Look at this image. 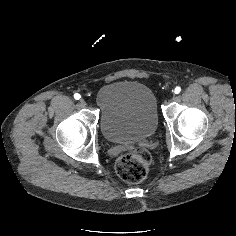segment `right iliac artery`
Masks as SVG:
<instances>
[{"instance_id":"82829eb1","label":"right iliac artery","mask_w":236,"mask_h":236,"mask_svg":"<svg viewBox=\"0 0 236 236\" xmlns=\"http://www.w3.org/2000/svg\"><path fill=\"white\" fill-rule=\"evenodd\" d=\"M74 98H75L76 100H79V99L81 98V96H80V94L75 93V94H74Z\"/></svg>"}]
</instances>
